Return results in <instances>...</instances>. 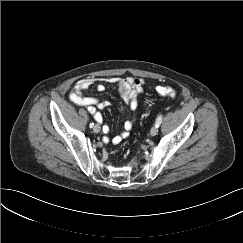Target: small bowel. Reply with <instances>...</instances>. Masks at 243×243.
<instances>
[{"label": "small bowel", "instance_id": "small-bowel-1", "mask_svg": "<svg viewBox=\"0 0 243 243\" xmlns=\"http://www.w3.org/2000/svg\"><path fill=\"white\" fill-rule=\"evenodd\" d=\"M105 83L113 86L119 91L122 100L132 111H135L138 108L139 97L142 95L145 86V80L142 78H83L75 83L73 90L69 94V98L76 105L88 107L89 112L93 115L95 120L102 122V115L97 111V109H103L110 106V102L106 100H100L95 97L86 96L84 93L93 85H96L97 90L102 92L106 88ZM134 123L135 120H127L124 123L123 131L111 139L106 137L104 139L105 142L111 141L113 144H119L123 139L128 137L129 131L133 128ZM109 130V126L105 125L103 127V131L105 133H108Z\"/></svg>", "mask_w": 243, "mask_h": 243}]
</instances>
